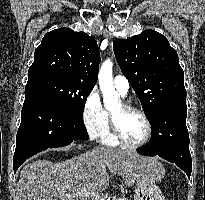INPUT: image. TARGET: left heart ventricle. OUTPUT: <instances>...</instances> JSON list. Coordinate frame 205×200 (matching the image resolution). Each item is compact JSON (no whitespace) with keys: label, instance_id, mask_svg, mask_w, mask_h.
Segmentation results:
<instances>
[{"label":"left heart ventricle","instance_id":"1","mask_svg":"<svg viewBox=\"0 0 205 200\" xmlns=\"http://www.w3.org/2000/svg\"><path fill=\"white\" fill-rule=\"evenodd\" d=\"M124 138L130 143H138L146 134V124L143 118L135 112H126L121 105L111 110Z\"/></svg>","mask_w":205,"mask_h":200}]
</instances>
